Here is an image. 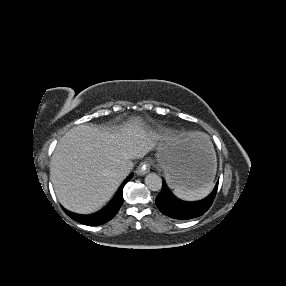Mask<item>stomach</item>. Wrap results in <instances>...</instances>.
<instances>
[{"label": "stomach", "instance_id": "0dacf381", "mask_svg": "<svg viewBox=\"0 0 286 286\" xmlns=\"http://www.w3.org/2000/svg\"><path fill=\"white\" fill-rule=\"evenodd\" d=\"M158 149V162L172 187L197 189L213 181L217 162L214 149L207 137H187L175 149Z\"/></svg>", "mask_w": 286, "mask_h": 286}]
</instances>
